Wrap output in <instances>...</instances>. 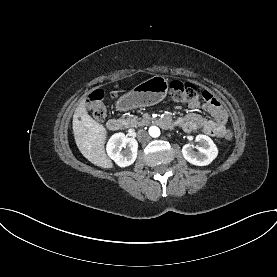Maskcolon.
Returning <instances> with one entry per match:
<instances>
[{"label": "colon", "instance_id": "colon-1", "mask_svg": "<svg viewBox=\"0 0 277 277\" xmlns=\"http://www.w3.org/2000/svg\"><path fill=\"white\" fill-rule=\"evenodd\" d=\"M170 94L172 99L177 103H190L198 98L197 89L193 84L177 79L170 83ZM87 107L96 121L102 122L105 120L107 109L103 102V93L100 90L90 94L87 100ZM233 139L234 126L228 125L225 130L224 140L231 142Z\"/></svg>", "mask_w": 277, "mask_h": 277}]
</instances>
